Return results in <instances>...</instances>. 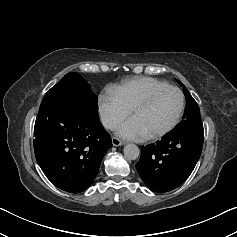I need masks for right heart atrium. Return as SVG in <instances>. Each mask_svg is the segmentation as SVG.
<instances>
[{"label":"right heart atrium","mask_w":237,"mask_h":237,"mask_svg":"<svg viewBox=\"0 0 237 237\" xmlns=\"http://www.w3.org/2000/svg\"><path fill=\"white\" fill-rule=\"evenodd\" d=\"M98 108L101 122L109 130L115 129L129 113V110L110 89L99 95Z\"/></svg>","instance_id":"1"}]
</instances>
